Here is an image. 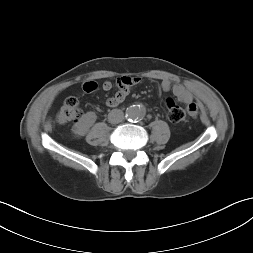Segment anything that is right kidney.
Segmentation results:
<instances>
[{
  "label": "right kidney",
  "instance_id": "right-kidney-1",
  "mask_svg": "<svg viewBox=\"0 0 253 253\" xmlns=\"http://www.w3.org/2000/svg\"><path fill=\"white\" fill-rule=\"evenodd\" d=\"M97 116L94 112H87L80 121L74 125L73 133L78 136H84L89 131L90 127L95 123Z\"/></svg>",
  "mask_w": 253,
  "mask_h": 253
}]
</instances>
